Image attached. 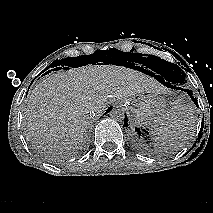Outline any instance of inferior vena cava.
<instances>
[{
  "mask_svg": "<svg viewBox=\"0 0 213 213\" xmlns=\"http://www.w3.org/2000/svg\"><path fill=\"white\" fill-rule=\"evenodd\" d=\"M88 115H89V117H91L93 119H96L98 117V114L96 112H93V111L89 112Z\"/></svg>",
  "mask_w": 213,
  "mask_h": 213,
  "instance_id": "602c4592",
  "label": "inferior vena cava"
}]
</instances>
